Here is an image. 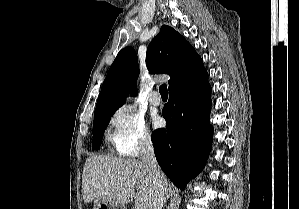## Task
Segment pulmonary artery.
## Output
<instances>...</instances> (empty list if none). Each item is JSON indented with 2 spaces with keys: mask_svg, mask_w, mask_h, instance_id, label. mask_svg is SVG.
I'll list each match as a JSON object with an SVG mask.
<instances>
[{
  "mask_svg": "<svg viewBox=\"0 0 299 209\" xmlns=\"http://www.w3.org/2000/svg\"><path fill=\"white\" fill-rule=\"evenodd\" d=\"M149 102L153 106H159L162 102L161 98L158 95L157 91H152L151 94L149 95Z\"/></svg>",
  "mask_w": 299,
  "mask_h": 209,
  "instance_id": "pulmonary-artery-1",
  "label": "pulmonary artery"
}]
</instances>
